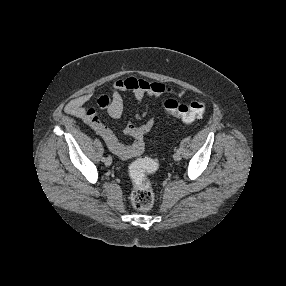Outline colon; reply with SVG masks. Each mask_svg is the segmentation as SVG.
I'll return each instance as SVG.
<instances>
[{"label": "colon", "instance_id": "obj_1", "mask_svg": "<svg viewBox=\"0 0 286 286\" xmlns=\"http://www.w3.org/2000/svg\"><path fill=\"white\" fill-rule=\"evenodd\" d=\"M163 107L166 113L188 123L203 115L206 103L202 99L188 104L169 99L164 102ZM157 167L156 161L145 157L138 159L131 167L130 173L134 184L131 200L139 211H148L153 207L155 196L147 174L154 172Z\"/></svg>", "mask_w": 286, "mask_h": 286}]
</instances>
